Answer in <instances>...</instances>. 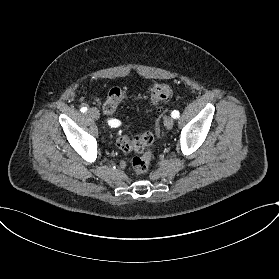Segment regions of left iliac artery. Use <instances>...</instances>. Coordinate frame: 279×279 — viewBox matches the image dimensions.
I'll list each match as a JSON object with an SVG mask.
<instances>
[{
	"mask_svg": "<svg viewBox=\"0 0 279 279\" xmlns=\"http://www.w3.org/2000/svg\"><path fill=\"white\" fill-rule=\"evenodd\" d=\"M171 116L174 119L179 118L180 117L179 111H177V110L172 111Z\"/></svg>",
	"mask_w": 279,
	"mask_h": 279,
	"instance_id": "left-iliac-artery-1",
	"label": "left iliac artery"
}]
</instances>
